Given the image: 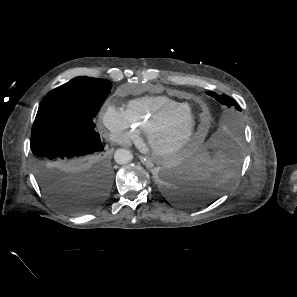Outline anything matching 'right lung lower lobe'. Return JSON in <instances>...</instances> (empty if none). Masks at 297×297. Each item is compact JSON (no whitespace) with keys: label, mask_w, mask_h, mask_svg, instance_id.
Segmentation results:
<instances>
[{"label":"right lung lower lobe","mask_w":297,"mask_h":297,"mask_svg":"<svg viewBox=\"0 0 297 297\" xmlns=\"http://www.w3.org/2000/svg\"><path fill=\"white\" fill-rule=\"evenodd\" d=\"M38 183L58 208L88 213L105 202L113 181L105 143L94 127L61 121L31 132Z\"/></svg>","instance_id":"right-lung-lower-lobe-1"}]
</instances>
